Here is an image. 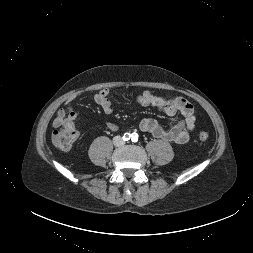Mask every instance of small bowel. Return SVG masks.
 I'll return each instance as SVG.
<instances>
[{
	"mask_svg": "<svg viewBox=\"0 0 253 253\" xmlns=\"http://www.w3.org/2000/svg\"><path fill=\"white\" fill-rule=\"evenodd\" d=\"M110 90L107 88L101 89L94 95L95 103L106 114H111L113 109L109 99ZM78 95H73L68 98L63 107H61L55 118L53 119V126L68 127L78 138L76 122L79 119V113L74 110V102ZM137 102L142 106H152L168 116L180 115V120L170 129L166 130L159 125V123L152 118H144L140 121L139 127L141 131L152 135L155 138L163 139L165 141L176 144H184L189 140L191 132L195 129L196 116L193 106L183 97L171 95H157L150 91H144L136 98ZM107 128L111 131H116L118 127L113 123H107Z\"/></svg>",
	"mask_w": 253,
	"mask_h": 253,
	"instance_id": "small-bowel-1",
	"label": "small bowel"
}]
</instances>
